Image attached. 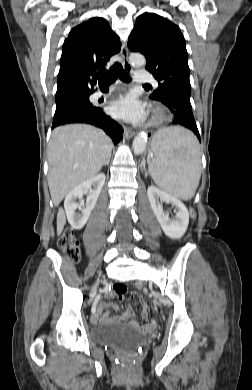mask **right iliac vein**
I'll return each instance as SVG.
<instances>
[{
  "instance_id": "1",
  "label": "right iliac vein",
  "mask_w": 252,
  "mask_h": 390,
  "mask_svg": "<svg viewBox=\"0 0 252 390\" xmlns=\"http://www.w3.org/2000/svg\"><path fill=\"white\" fill-rule=\"evenodd\" d=\"M97 285H98V283H96V284L93 286L92 292H95V291H96Z\"/></svg>"
}]
</instances>
